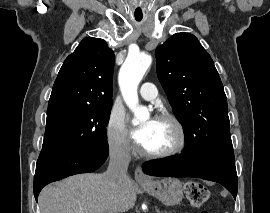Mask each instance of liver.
<instances>
[{"label":"liver","instance_id":"6515ba94","mask_svg":"<svg viewBox=\"0 0 270 213\" xmlns=\"http://www.w3.org/2000/svg\"><path fill=\"white\" fill-rule=\"evenodd\" d=\"M135 184L128 177L120 187L103 174H80L45 187L41 213H122L135 205Z\"/></svg>","mask_w":270,"mask_h":213}]
</instances>
